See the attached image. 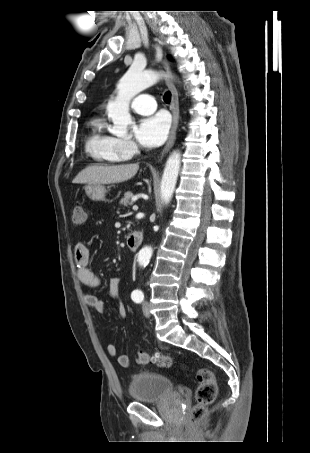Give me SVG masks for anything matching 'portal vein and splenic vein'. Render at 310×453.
<instances>
[{"instance_id": "obj_1", "label": "portal vein and splenic vein", "mask_w": 310, "mask_h": 453, "mask_svg": "<svg viewBox=\"0 0 310 453\" xmlns=\"http://www.w3.org/2000/svg\"><path fill=\"white\" fill-rule=\"evenodd\" d=\"M133 210H135V211L138 210V206L134 205Z\"/></svg>"}]
</instances>
